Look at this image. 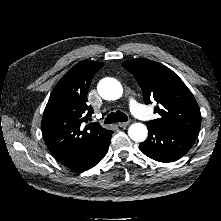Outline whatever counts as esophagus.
I'll return each mask as SVG.
<instances>
[{
  "label": "esophagus",
  "mask_w": 221,
  "mask_h": 221,
  "mask_svg": "<svg viewBox=\"0 0 221 221\" xmlns=\"http://www.w3.org/2000/svg\"><path fill=\"white\" fill-rule=\"evenodd\" d=\"M130 124V121H127V122H119L118 123V126L119 127H125V126H127V125H129Z\"/></svg>",
  "instance_id": "obj_1"
}]
</instances>
